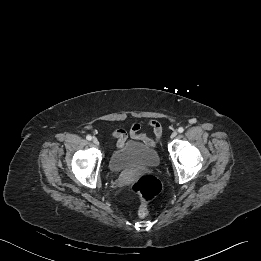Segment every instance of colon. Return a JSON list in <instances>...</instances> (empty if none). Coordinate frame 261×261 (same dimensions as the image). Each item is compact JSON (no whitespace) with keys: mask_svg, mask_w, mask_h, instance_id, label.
<instances>
[{"mask_svg":"<svg viewBox=\"0 0 261 261\" xmlns=\"http://www.w3.org/2000/svg\"><path fill=\"white\" fill-rule=\"evenodd\" d=\"M131 190L138 194L141 199V204L138 208V216L140 218H146L149 215L147 203L161 192V182L156 177L145 174L133 182Z\"/></svg>","mask_w":261,"mask_h":261,"instance_id":"5ec220e1","label":"colon"}]
</instances>
